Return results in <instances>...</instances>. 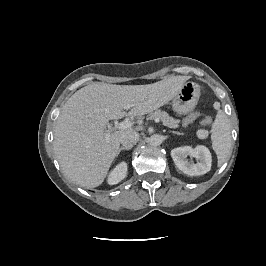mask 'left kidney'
<instances>
[{"label": "left kidney", "instance_id": "left-kidney-1", "mask_svg": "<svg viewBox=\"0 0 266 266\" xmlns=\"http://www.w3.org/2000/svg\"><path fill=\"white\" fill-rule=\"evenodd\" d=\"M196 158L198 163L194 164L187 157ZM171 157L175 165L185 174L190 176L203 175L210 171L212 164L211 153L207 147L198 145L177 147L171 151Z\"/></svg>", "mask_w": 266, "mask_h": 266}]
</instances>
